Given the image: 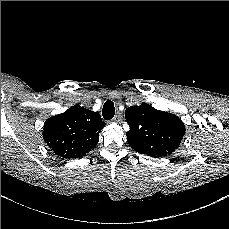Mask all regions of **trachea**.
Masks as SVG:
<instances>
[{
    "instance_id": "obj_1",
    "label": "trachea",
    "mask_w": 229,
    "mask_h": 229,
    "mask_svg": "<svg viewBox=\"0 0 229 229\" xmlns=\"http://www.w3.org/2000/svg\"><path fill=\"white\" fill-rule=\"evenodd\" d=\"M114 115H115L114 103L111 100H107L103 106L102 116L105 120H110L114 117Z\"/></svg>"
}]
</instances>
